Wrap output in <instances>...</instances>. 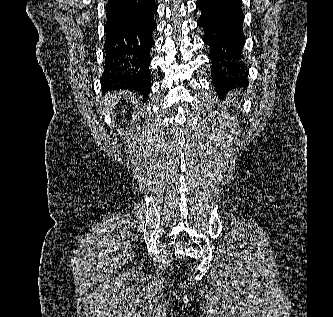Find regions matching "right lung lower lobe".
I'll use <instances>...</instances> for the list:
<instances>
[{
	"label": "right lung lower lobe",
	"instance_id": "98d812e1",
	"mask_svg": "<svg viewBox=\"0 0 333 317\" xmlns=\"http://www.w3.org/2000/svg\"><path fill=\"white\" fill-rule=\"evenodd\" d=\"M155 0H108L106 5L105 70L100 79L103 91L129 89L147 99L151 77L149 50L156 29ZM126 56H132L125 59ZM123 65L134 66L127 70Z\"/></svg>",
	"mask_w": 333,
	"mask_h": 317
}]
</instances>
